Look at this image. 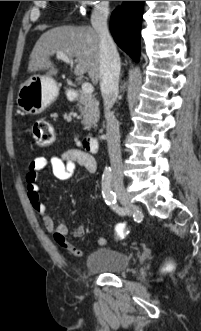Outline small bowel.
<instances>
[{
	"label": "small bowel",
	"instance_id": "small-bowel-1",
	"mask_svg": "<svg viewBox=\"0 0 201 331\" xmlns=\"http://www.w3.org/2000/svg\"><path fill=\"white\" fill-rule=\"evenodd\" d=\"M77 166L82 167L89 173H95L97 170L96 161L90 154L79 149H68L49 158L44 156L35 157L29 162L25 174L27 196L33 209L41 216L44 227L53 235L56 243L74 256H80L82 250L67 240V227L64 224H56L47 213L46 207L40 199L38 178L41 170L50 167L57 178L68 180L73 176ZM73 235L78 238L83 237L85 226L79 224L74 229ZM105 242L102 237L98 239V243L101 245Z\"/></svg>",
	"mask_w": 201,
	"mask_h": 331
}]
</instances>
